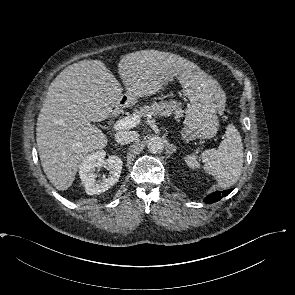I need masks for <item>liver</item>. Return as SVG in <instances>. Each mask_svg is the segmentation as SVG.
<instances>
[{"label": "liver", "instance_id": "obj_1", "mask_svg": "<svg viewBox=\"0 0 295 295\" xmlns=\"http://www.w3.org/2000/svg\"><path fill=\"white\" fill-rule=\"evenodd\" d=\"M200 70L173 53L142 50L118 64L124 88L101 60H82L66 67L50 84L37 118L36 140L43 170L58 190H67L81 161L107 145V137L92 125L105 120L123 95L125 105L163 90L162 76Z\"/></svg>", "mask_w": 295, "mask_h": 295}]
</instances>
